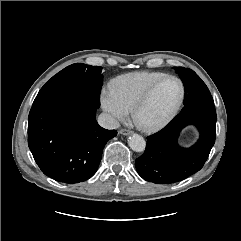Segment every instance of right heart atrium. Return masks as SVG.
<instances>
[{
    "instance_id": "1",
    "label": "right heart atrium",
    "mask_w": 241,
    "mask_h": 241,
    "mask_svg": "<svg viewBox=\"0 0 241 241\" xmlns=\"http://www.w3.org/2000/svg\"><path fill=\"white\" fill-rule=\"evenodd\" d=\"M100 103L102 109L114 124L122 121L128 115V109L117 99L111 89H102Z\"/></svg>"
}]
</instances>
